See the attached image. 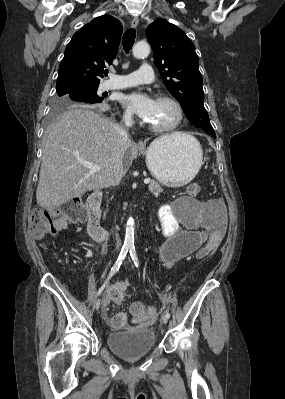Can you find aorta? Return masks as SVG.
I'll return each mask as SVG.
<instances>
[{
    "label": "aorta",
    "instance_id": "1",
    "mask_svg": "<svg viewBox=\"0 0 285 399\" xmlns=\"http://www.w3.org/2000/svg\"><path fill=\"white\" fill-rule=\"evenodd\" d=\"M150 53V46L146 42H138L133 47V56L138 59H143L147 57ZM134 220L133 218H129L126 223V230H125V240H124V247L125 248H132L134 247Z\"/></svg>",
    "mask_w": 285,
    "mask_h": 399
}]
</instances>
